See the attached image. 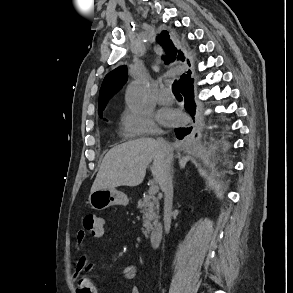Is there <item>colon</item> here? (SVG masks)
<instances>
[{
  "mask_svg": "<svg viewBox=\"0 0 293 293\" xmlns=\"http://www.w3.org/2000/svg\"><path fill=\"white\" fill-rule=\"evenodd\" d=\"M83 226L95 235L104 229V218L94 213H88L83 218Z\"/></svg>",
  "mask_w": 293,
  "mask_h": 293,
  "instance_id": "5ec220e1",
  "label": "colon"
}]
</instances>
